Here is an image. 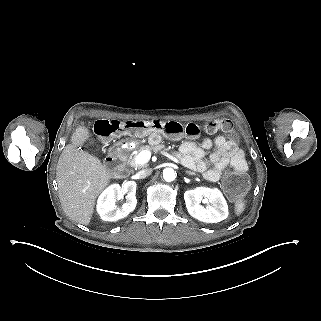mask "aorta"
Wrapping results in <instances>:
<instances>
[{"label":"aorta","mask_w":321,"mask_h":321,"mask_svg":"<svg viewBox=\"0 0 321 321\" xmlns=\"http://www.w3.org/2000/svg\"><path fill=\"white\" fill-rule=\"evenodd\" d=\"M163 178L167 182H171L176 178V173L172 168H165L163 170Z\"/></svg>","instance_id":"obj_1"}]
</instances>
